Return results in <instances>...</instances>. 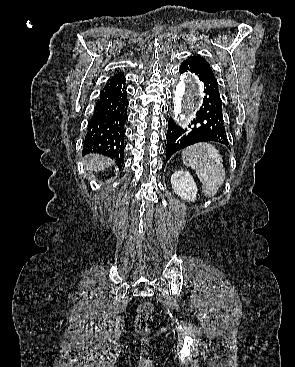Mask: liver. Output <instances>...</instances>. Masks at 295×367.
Returning <instances> with one entry per match:
<instances>
[{"instance_id":"1","label":"liver","mask_w":295,"mask_h":367,"mask_svg":"<svg viewBox=\"0 0 295 367\" xmlns=\"http://www.w3.org/2000/svg\"><path fill=\"white\" fill-rule=\"evenodd\" d=\"M113 161L103 155L99 154H89L85 158V169L87 171H101L109 166Z\"/></svg>"}]
</instances>
